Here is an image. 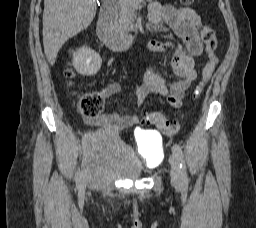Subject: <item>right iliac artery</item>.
<instances>
[{"mask_svg": "<svg viewBox=\"0 0 256 228\" xmlns=\"http://www.w3.org/2000/svg\"><path fill=\"white\" fill-rule=\"evenodd\" d=\"M88 140H89V134H86V136H83V137H82L81 143H82V144H85L86 141H88ZM84 148H85V147H84ZM76 181H77L78 183L81 182V172H80V169H78V171H77V173H76Z\"/></svg>", "mask_w": 256, "mask_h": 228, "instance_id": "right-iliac-artery-1", "label": "right iliac artery"}]
</instances>
